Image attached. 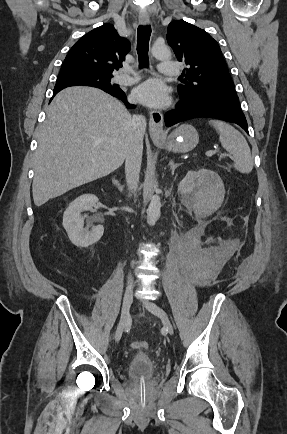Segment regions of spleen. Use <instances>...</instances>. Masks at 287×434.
I'll return each mask as SVG.
<instances>
[{
    "instance_id": "1",
    "label": "spleen",
    "mask_w": 287,
    "mask_h": 434,
    "mask_svg": "<svg viewBox=\"0 0 287 434\" xmlns=\"http://www.w3.org/2000/svg\"><path fill=\"white\" fill-rule=\"evenodd\" d=\"M209 124L218 131L219 140L224 149L232 154L234 161L232 166L240 173H250L253 169V159L244 136L223 121L210 120Z\"/></svg>"
}]
</instances>
